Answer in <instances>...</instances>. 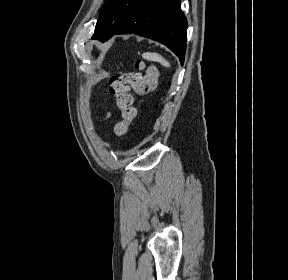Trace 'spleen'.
Masks as SVG:
<instances>
[{"mask_svg":"<svg viewBox=\"0 0 288 280\" xmlns=\"http://www.w3.org/2000/svg\"><path fill=\"white\" fill-rule=\"evenodd\" d=\"M142 57L148 61L159 62L165 67H170V63L158 53L146 52L142 54Z\"/></svg>","mask_w":288,"mask_h":280,"instance_id":"3e777b00","label":"spleen"}]
</instances>
